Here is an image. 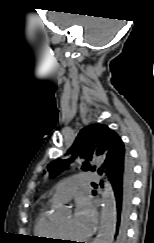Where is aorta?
<instances>
[{"instance_id": "obj_1", "label": "aorta", "mask_w": 154, "mask_h": 243, "mask_svg": "<svg viewBox=\"0 0 154 243\" xmlns=\"http://www.w3.org/2000/svg\"><path fill=\"white\" fill-rule=\"evenodd\" d=\"M103 190V206L101 211V222L99 232L93 243H113L116 226V208L114 194L110 183L107 181L105 174Z\"/></svg>"}]
</instances>
